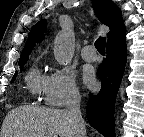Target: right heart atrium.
Returning a JSON list of instances; mask_svg holds the SVG:
<instances>
[{"mask_svg": "<svg viewBox=\"0 0 144 137\" xmlns=\"http://www.w3.org/2000/svg\"><path fill=\"white\" fill-rule=\"evenodd\" d=\"M80 98L75 73L68 67L57 68L47 76L43 90L44 102L53 107H64Z\"/></svg>", "mask_w": 144, "mask_h": 137, "instance_id": "1", "label": "right heart atrium"}]
</instances>
